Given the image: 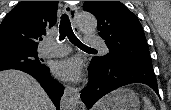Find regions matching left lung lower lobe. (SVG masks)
I'll list each match as a JSON object with an SVG mask.
<instances>
[{
	"label": "left lung lower lobe",
	"instance_id": "0a47b994",
	"mask_svg": "<svg viewBox=\"0 0 171 110\" xmlns=\"http://www.w3.org/2000/svg\"><path fill=\"white\" fill-rule=\"evenodd\" d=\"M88 71L90 83L81 93V98L88 108L107 93L131 83L146 84L159 95L152 66L124 62H113L109 65L91 63Z\"/></svg>",
	"mask_w": 171,
	"mask_h": 110
}]
</instances>
